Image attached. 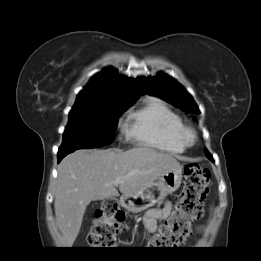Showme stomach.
I'll return each instance as SVG.
<instances>
[{"label": "stomach", "mask_w": 261, "mask_h": 261, "mask_svg": "<svg viewBox=\"0 0 261 261\" xmlns=\"http://www.w3.org/2000/svg\"><path fill=\"white\" fill-rule=\"evenodd\" d=\"M182 167L165 172L157 182L150 184L136 194L123 195L121 205L130 212H141L155 206L165 196L175 192L181 184Z\"/></svg>", "instance_id": "stomach-1"}]
</instances>
